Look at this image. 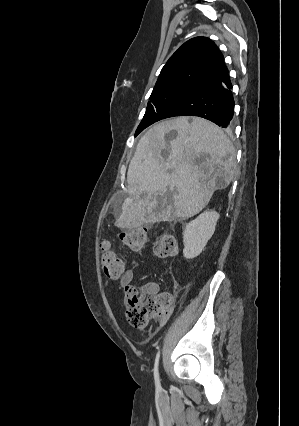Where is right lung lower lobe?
Segmentation results:
<instances>
[{
  "mask_svg": "<svg viewBox=\"0 0 299 426\" xmlns=\"http://www.w3.org/2000/svg\"><path fill=\"white\" fill-rule=\"evenodd\" d=\"M232 85L228 73L210 80L169 106L159 120L174 116H199L218 126L227 127L234 114Z\"/></svg>",
  "mask_w": 299,
  "mask_h": 426,
  "instance_id": "obj_1",
  "label": "right lung lower lobe"
}]
</instances>
